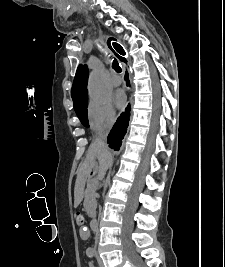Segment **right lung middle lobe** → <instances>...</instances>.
<instances>
[{"label": "right lung middle lobe", "instance_id": "right-lung-middle-lobe-1", "mask_svg": "<svg viewBox=\"0 0 225 267\" xmlns=\"http://www.w3.org/2000/svg\"><path fill=\"white\" fill-rule=\"evenodd\" d=\"M88 98L84 99L77 106L74 107L78 118L85 127H89L88 116H87Z\"/></svg>", "mask_w": 225, "mask_h": 267}]
</instances>
